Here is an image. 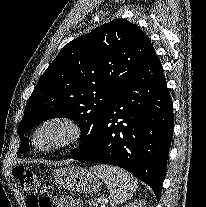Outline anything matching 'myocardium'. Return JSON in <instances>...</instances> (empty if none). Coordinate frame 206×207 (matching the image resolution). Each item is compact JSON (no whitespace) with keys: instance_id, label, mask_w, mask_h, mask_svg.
<instances>
[{"instance_id":"myocardium-1","label":"myocardium","mask_w":206,"mask_h":207,"mask_svg":"<svg viewBox=\"0 0 206 207\" xmlns=\"http://www.w3.org/2000/svg\"><path fill=\"white\" fill-rule=\"evenodd\" d=\"M59 125L65 128L66 135L58 143L51 146H40L36 142V137L39 132L47 126ZM84 137L82 126L74 119L66 116H53L41 121L32 131L30 143L32 147L41 153H52L66 150L78 145Z\"/></svg>"}]
</instances>
